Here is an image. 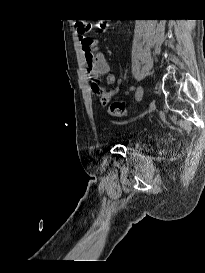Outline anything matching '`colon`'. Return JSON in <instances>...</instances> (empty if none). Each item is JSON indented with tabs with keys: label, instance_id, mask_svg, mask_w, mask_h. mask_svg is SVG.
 <instances>
[{
	"label": "colon",
	"instance_id": "colon-1",
	"mask_svg": "<svg viewBox=\"0 0 205 273\" xmlns=\"http://www.w3.org/2000/svg\"><path fill=\"white\" fill-rule=\"evenodd\" d=\"M75 27H76L77 33L80 35H84V34L88 33L91 29L90 23L82 21V20H77L75 22ZM92 90L97 95L102 96V98L104 100H106L108 98L109 93L106 91V89L101 84H99L97 82H93L92 83ZM105 94H108V95L105 96ZM126 112H127V108H126V104L124 102H113L109 106V109H108V113L114 117L124 116L126 114Z\"/></svg>",
	"mask_w": 205,
	"mask_h": 273
}]
</instances>
